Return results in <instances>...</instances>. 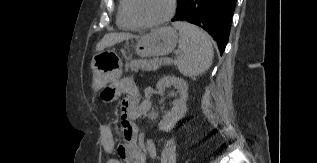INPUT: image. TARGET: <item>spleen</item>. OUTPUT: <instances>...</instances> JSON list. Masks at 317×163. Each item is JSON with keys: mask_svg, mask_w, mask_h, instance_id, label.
Here are the masks:
<instances>
[{"mask_svg": "<svg viewBox=\"0 0 317 163\" xmlns=\"http://www.w3.org/2000/svg\"><path fill=\"white\" fill-rule=\"evenodd\" d=\"M173 26L180 35V55L177 59L179 71L188 77L205 73L210 68L214 55L210 36L187 22H175Z\"/></svg>", "mask_w": 317, "mask_h": 163, "instance_id": "3e777b00", "label": "spleen"}]
</instances>
